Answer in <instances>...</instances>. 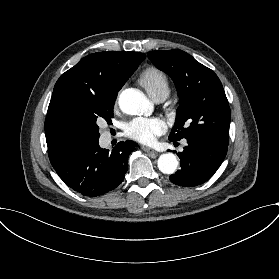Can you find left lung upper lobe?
Segmentation results:
<instances>
[{"label":"left lung upper lobe","instance_id":"obj_1","mask_svg":"<svg viewBox=\"0 0 279 279\" xmlns=\"http://www.w3.org/2000/svg\"><path fill=\"white\" fill-rule=\"evenodd\" d=\"M148 57L172 78L180 99L169 138L210 136L228 141L231 111L214 71L181 50L150 51Z\"/></svg>","mask_w":279,"mask_h":279}]
</instances>
